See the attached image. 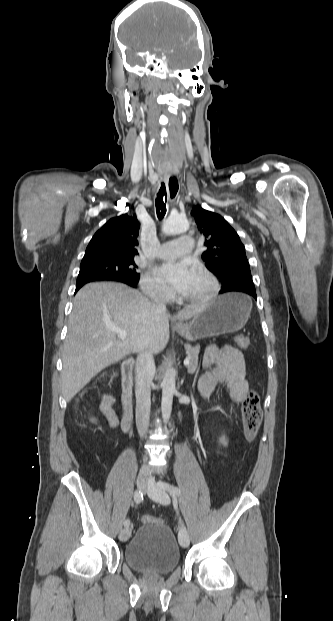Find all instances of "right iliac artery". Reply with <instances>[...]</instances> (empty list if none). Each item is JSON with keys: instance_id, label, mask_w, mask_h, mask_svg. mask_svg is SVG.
<instances>
[{"instance_id": "82829eb1", "label": "right iliac artery", "mask_w": 333, "mask_h": 621, "mask_svg": "<svg viewBox=\"0 0 333 621\" xmlns=\"http://www.w3.org/2000/svg\"><path fill=\"white\" fill-rule=\"evenodd\" d=\"M142 500H143V493L141 491H136L134 493L135 503L139 504ZM123 524L125 527H128L130 525V520L126 519Z\"/></svg>"}]
</instances>
